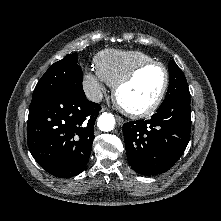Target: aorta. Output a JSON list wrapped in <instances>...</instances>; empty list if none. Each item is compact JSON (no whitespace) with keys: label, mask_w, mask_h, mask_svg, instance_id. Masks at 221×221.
I'll use <instances>...</instances> for the list:
<instances>
[{"label":"aorta","mask_w":221,"mask_h":221,"mask_svg":"<svg viewBox=\"0 0 221 221\" xmlns=\"http://www.w3.org/2000/svg\"><path fill=\"white\" fill-rule=\"evenodd\" d=\"M115 125L114 115L111 113H102L97 121V126L101 131L108 132L113 130Z\"/></svg>","instance_id":"762f6f07"}]
</instances>
